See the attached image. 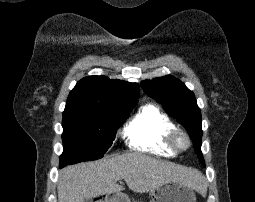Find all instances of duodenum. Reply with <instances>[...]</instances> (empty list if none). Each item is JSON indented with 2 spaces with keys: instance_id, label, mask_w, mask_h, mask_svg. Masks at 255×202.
Segmentation results:
<instances>
[{
  "instance_id": "1",
  "label": "duodenum",
  "mask_w": 255,
  "mask_h": 202,
  "mask_svg": "<svg viewBox=\"0 0 255 202\" xmlns=\"http://www.w3.org/2000/svg\"><path fill=\"white\" fill-rule=\"evenodd\" d=\"M107 200L108 202H124V200L118 197L115 193L108 195Z\"/></svg>"
}]
</instances>
